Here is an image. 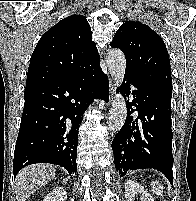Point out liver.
I'll return each instance as SVG.
<instances>
[{
    "mask_svg": "<svg viewBox=\"0 0 196 201\" xmlns=\"http://www.w3.org/2000/svg\"><path fill=\"white\" fill-rule=\"evenodd\" d=\"M55 177V167L48 164H33L20 170L15 179L17 201H26L38 188Z\"/></svg>",
    "mask_w": 196,
    "mask_h": 201,
    "instance_id": "liver-1",
    "label": "liver"
}]
</instances>
